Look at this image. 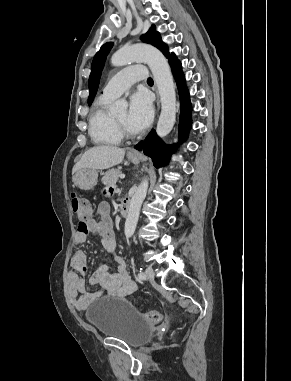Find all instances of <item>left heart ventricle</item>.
I'll use <instances>...</instances> for the list:
<instances>
[{
    "label": "left heart ventricle",
    "instance_id": "1",
    "mask_svg": "<svg viewBox=\"0 0 291 381\" xmlns=\"http://www.w3.org/2000/svg\"><path fill=\"white\" fill-rule=\"evenodd\" d=\"M116 119L121 123L123 124L129 131L135 133L129 126L128 124V112L127 111H123L121 113H119L118 115L115 116Z\"/></svg>",
    "mask_w": 291,
    "mask_h": 381
}]
</instances>
